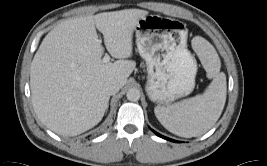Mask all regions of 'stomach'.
Segmentation results:
<instances>
[{
  "label": "stomach",
  "instance_id": "0dacf381",
  "mask_svg": "<svg viewBox=\"0 0 267 166\" xmlns=\"http://www.w3.org/2000/svg\"><path fill=\"white\" fill-rule=\"evenodd\" d=\"M135 31L138 52L146 61L149 99L165 105L189 95L195 87L197 62L187 49L184 24L147 15L138 21Z\"/></svg>",
  "mask_w": 267,
  "mask_h": 166
}]
</instances>
